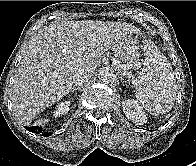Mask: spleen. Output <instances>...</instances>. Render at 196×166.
<instances>
[{
    "label": "spleen",
    "instance_id": "3e777b00",
    "mask_svg": "<svg viewBox=\"0 0 196 166\" xmlns=\"http://www.w3.org/2000/svg\"><path fill=\"white\" fill-rule=\"evenodd\" d=\"M145 64L136 83V99L152 115L169 112L176 99V79L171 65L150 40L144 44Z\"/></svg>",
    "mask_w": 196,
    "mask_h": 166
}]
</instances>
